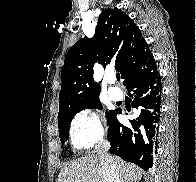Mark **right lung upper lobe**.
Returning <instances> with one entry per match:
<instances>
[{
	"label": "right lung upper lobe",
	"mask_w": 196,
	"mask_h": 182,
	"mask_svg": "<svg viewBox=\"0 0 196 182\" xmlns=\"http://www.w3.org/2000/svg\"><path fill=\"white\" fill-rule=\"evenodd\" d=\"M138 26L118 8L103 10L95 34L75 43L65 57L61 72L58 116L99 97L100 85L93 81V65L104 68L111 61L124 79L123 84L152 57Z\"/></svg>",
	"instance_id": "obj_1"
}]
</instances>
